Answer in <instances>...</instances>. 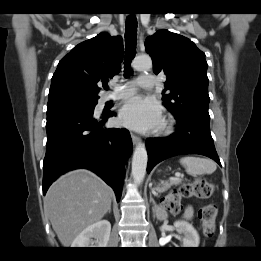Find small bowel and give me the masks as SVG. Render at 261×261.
I'll return each instance as SVG.
<instances>
[{"label": "small bowel", "instance_id": "obj_1", "mask_svg": "<svg viewBox=\"0 0 261 261\" xmlns=\"http://www.w3.org/2000/svg\"><path fill=\"white\" fill-rule=\"evenodd\" d=\"M184 218L187 220H190L193 218V209L192 208H187L185 213H184Z\"/></svg>", "mask_w": 261, "mask_h": 261}]
</instances>
